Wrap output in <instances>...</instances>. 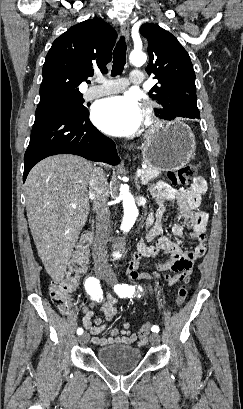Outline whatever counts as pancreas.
<instances>
[{"label": "pancreas", "mask_w": 243, "mask_h": 409, "mask_svg": "<svg viewBox=\"0 0 243 409\" xmlns=\"http://www.w3.org/2000/svg\"><path fill=\"white\" fill-rule=\"evenodd\" d=\"M160 173L161 171L159 170L147 167L145 169H142V174L140 178L143 184H147L149 181L160 175Z\"/></svg>", "instance_id": "cf45deb5"}]
</instances>
